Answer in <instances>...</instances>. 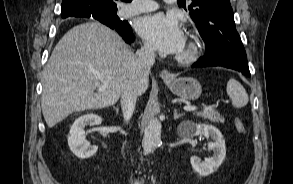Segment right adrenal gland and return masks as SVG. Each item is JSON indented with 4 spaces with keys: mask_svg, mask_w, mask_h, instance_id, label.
<instances>
[{
    "mask_svg": "<svg viewBox=\"0 0 293 184\" xmlns=\"http://www.w3.org/2000/svg\"><path fill=\"white\" fill-rule=\"evenodd\" d=\"M113 108L116 111V114H119V108H117V107H113Z\"/></svg>",
    "mask_w": 293,
    "mask_h": 184,
    "instance_id": "2a0ac1e0",
    "label": "right adrenal gland"
}]
</instances>
